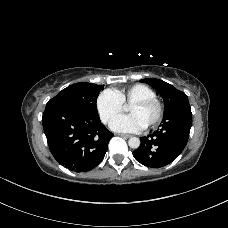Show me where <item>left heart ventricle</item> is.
Here are the masks:
<instances>
[{"mask_svg": "<svg viewBox=\"0 0 228 228\" xmlns=\"http://www.w3.org/2000/svg\"><path fill=\"white\" fill-rule=\"evenodd\" d=\"M128 112L130 114L138 116L140 120L145 124V126H147L154 120L157 110L155 106L138 107L130 105Z\"/></svg>", "mask_w": 228, "mask_h": 228, "instance_id": "b2bd125f", "label": "left heart ventricle"}]
</instances>
